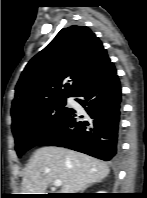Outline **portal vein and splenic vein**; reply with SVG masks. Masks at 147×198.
<instances>
[{
  "mask_svg": "<svg viewBox=\"0 0 147 198\" xmlns=\"http://www.w3.org/2000/svg\"><path fill=\"white\" fill-rule=\"evenodd\" d=\"M53 184L55 187H59L62 185V181L58 179V180H55Z\"/></svg>",
  "mask_w": 147,
  "mask_h": 198,
  "instance_id": "18ae733b",
  "label": "portal vein and splenic vein"
}]
</instances>
